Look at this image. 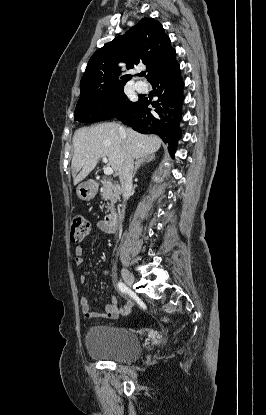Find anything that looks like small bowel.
Instances as JSON below:
<instances>
[{
	"instance_id": "small-bowel-1",
	"label": "small bowel",
	"mask_w": 266,
	"mask_h": 415,
	"mask_svg": "<svg viewBox=\"0 0 266 415\" xmlns=\"http://www.w3.org/2000/svg\"><path fill=\"white\" fill-rule=\"evenodd\" d=\"M96 228L98 230L106 231L107 228L104 225L103 221H98L96 223ZM83 252L84 249L82 246H77L74 250L75 253V263L76 265H81L83 263ZM108 271L104 272V275H107ZM80 282L85 284L88 282V278L85 275L80 276ZM81 311L85 318L93 319V318H100V319H116L120 316H127L132 307V302H128L123 307L119 308L117 306L116 298L112 297L110 301L105 305V311L103 313L93 312L90 309L89 301L86 297H82L80 300Z\"/></svg>"
}]
</instances>
